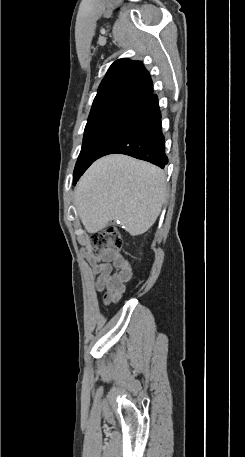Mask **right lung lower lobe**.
Returning <instances> with one entry per match:
<instances>
[{
  "mask_svg": "<svg viewBox=\"0 0 245 457\" xmlns=\"http://www.w3.org/2000/svg\"><path fill=\"white\" fill-rule=\"evenodd\" d=\"M112 153L126 154L165 167L168 158L156 95L144 98L128 112L98 158Z\"/></svg>",
  "mask_w": 245,
  "mask_h": 457,
  "instance_id": "right-lung-lower-lobe-1",
  "label": "right lung lower lobe"
}]
</instances>
